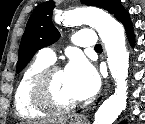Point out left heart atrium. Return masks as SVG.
Listing matches in <instances>:
<instances>
[{
	"label": "left heart atrium",
	"instance_id": "obj_1",
	"mask_svg": "<svg viewBox=\"0 0 145 124\" xmlns=\"http://www.w3.org/2000/svg\"><path fill=\"white\" fill-rule=\"evenodd\" d=\"M64 72L77 100L89 98L97 92L100 85L99 76L94 67L83 57H73Z\"/></svg>",
	"mask_w": 145,
	"mask_h": 124
}]
</instances>
